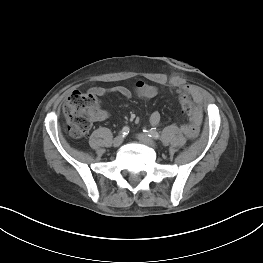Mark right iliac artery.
I'll return each instance as SVG.
<instances>
[{"instance_id": "right-iliac-artery-1", "label": "right iliac artery", "mask_w": 263, "mask_h": 263, "mask_svg": "<svg viewBox=\"0 0 263 263\" xmlns=\"http://www.w3.org/2000/svg\"><path fill=\"white\" fill-rule=\"evenodd\" d=\"M129 131H130V129H129L128 126L123 127V129H122V131H121L122 136H123V137L127 136L128 133H129Z\"/></svg>"}]
</instances>
